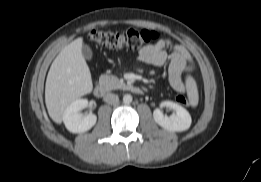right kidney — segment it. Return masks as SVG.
<instances>
[{"mask_svg":"<svg viewBox=\"0 0 261 182\" xmlns=\"http://www.w3.org/2000/svg\"><path fill=\"white\" fill-rule=\"evenodd\" d=\"M88 103L87 99H77L65 109L62 119L67 130L72 133H83L90 130L96 124V115L90 113L82 116L79 114V111L86 108Z\"/></svg>","mask_w":261,"mask_h":182,"instance_id":"ca27d5eb","label":"right kidney"}]
</instances>
